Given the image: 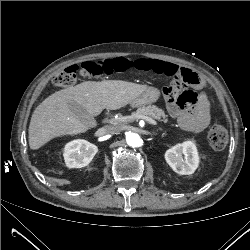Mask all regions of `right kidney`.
<instances>
[{
	"instance_id": "obj_1",
	"label": "right kidney",
	"mask_w": 250,
	"mask_h": 250,
	"mask_svg": "<svg viewBox=\"0 0 250 250\" xmlns=\"http://www.w3.org/2000/svg\"><path fill=\"white\" fill-rule=\"evenodd\" d=\"M94 144L82 139L73 140L64 148V160L69 168H82L87 166L97 153Z\"/></svg>"
}]
</instances>
